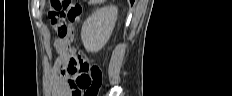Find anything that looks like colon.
I'll use <instances>...</instances> for the list:
<instances>
[{
    "instance_id": "1",
    "label": "colon",
    "mask_w": 232,
    "mask_h": 96,
    "mask_svg": "<svg viewBox=\"0 0 232 96\" xmlns=\"http://www.w3.org/2000/svg\"><path fill=\"white\" fill-rule=\"evenodd\" d=\"M49 19L60 39L71 35L69 25L79 21L82 8L74 0H51ZM68 63L66 72L75 74V96H97L102 85L103 73L93 61L80 54L76 46L68 45Z\"/></svg>"
}]
</instances>
